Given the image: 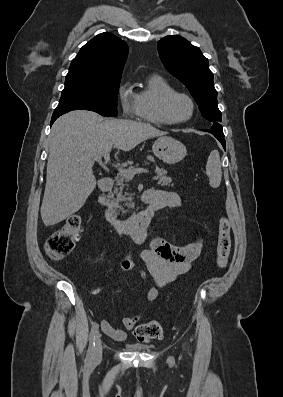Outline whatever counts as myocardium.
<instances>
[{
  "mask_svg": "<svg viewBox=\"0 0 283 397\" xmlns=\"http://www.w3.org/2000/svg\"><path fill=\"white\" fill-rule=\"evenodd\" d=\"M176 97H182V98L186 99L190 104V107H191L190 113L185 118L175 119L170 114V104H171L172 100ZM195 108H196L195 102L190 95H188L187 93L181 92V91H173L163 97V99L160 103L159 113H160L161 119L163 120V122L165 124L176 125V124H183V123L189 121L195 113Z\"/></svg>",
  "mask_w": 283,
  "mask_h": 397,
  "instance_id": "f54148a6",
  "label": "myocardium"
}]
</instances>
